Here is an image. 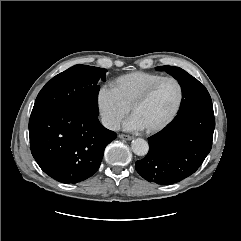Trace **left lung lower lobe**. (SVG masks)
I'll return each instance as SVG.
<instances>
[{"label": "left lung lower lobe", "instance_id": "0a47b994", "mask_svg": "<svg viewBox=\"0 0 241 241\" xmlns=\"http://www.w3.org/2000/svg\"><path fill=\"white\" fill-rule=\"evenodd\" d=\"M213 108H201L174 119L148 139L149 152L136 161L137 172L147 181L166 185L192 175L212 147Z\"/></svg>", "mask_w": 241, "mask_h": 241}]
</instances>
